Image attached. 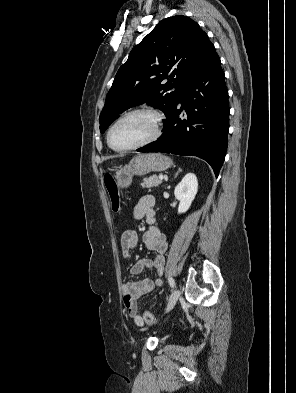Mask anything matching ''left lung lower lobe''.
<instances>
[{
	"label": "left lung lower lobe",
	"mask_w": 296,
	"mask_h": 393,
	"mask_svg": "<svg viewBox=\"0 0 296 393\" xmlns=\"http://www.w3.org/2000/svg\"><path fill=\"white\" fill-rule=\"evenodd\" d=\"M224 78L214 50L179 96L162 136L137 151L197 156L211 165L217 177L225 159L229 131ZM183 109L187 116L184 120L180 118Z\"/></svg>",
	"instance_id": "0a47b994"
}]
</instances>
